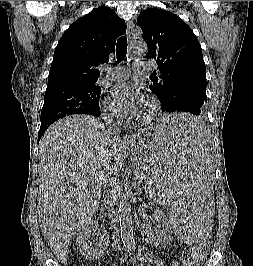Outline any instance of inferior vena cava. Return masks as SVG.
Returning a JSON list of instances; mask_svg holds the SVG:
<instances>
[{"instance_id": "obj_1", "label": "inferior vena cava", "mask_w": 253, "mask_h": 266, "mask_svg": "<svg viewBox=\"0 0 253 266\" xmlns=\"http://www.w3.org/2000/svg\"><path fill=\"white\" fill-rule=\"evenodd\" d=\"M104 120L106 123L105 134L108 139L112 141L120 140L121 132V118L115 114H105ZM117 180L116 176L112 174L109 178V182L104 188L103 198L104 203L109 205V215L111 217V224L116 234H119L120 227L118 221V207H117ZM116 206V207H115Z\"/></svg>"}]
</instances>
